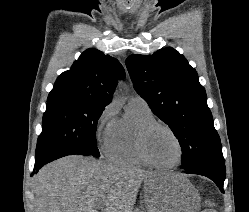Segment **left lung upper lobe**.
I'll return each mask as SVG.
<instances>
[{
	"label": "left lung upper lobe",
	"instance_id": "obj_1",
	"mask_svg": "<svg viewBox=\"0 0 249 212\" xmlns=\"http://www.w3.org/2000/svg\"><path fill=\"white\" fill-rule=\"evenodd\" d=\"M133 86L152 112L169 125L182 149V169L223 157L204 87L184 58L171 47L126 59Z\"/></svg>",
	"mask_w": 249,
	"mask_h": 212
}]
</instances>
